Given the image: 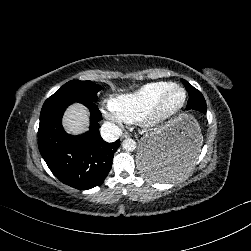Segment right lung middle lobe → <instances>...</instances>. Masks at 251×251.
<instances>
[{"mask_svg":"<svg viewBox=\"0 0 251 251\" xmlns=\"http://www.w3.org/2000/svg\"><path fill=\"white\" fill-rule=\"evenodd\" d=\"M101 86L91 81L71 80L57 90L47 101L73 99L84 102H96Z\"/></svg>","mask_w":251,"mask_h":251,"instance_id":"obj_1","label":"right lung middle lobe"}]
</instances>
